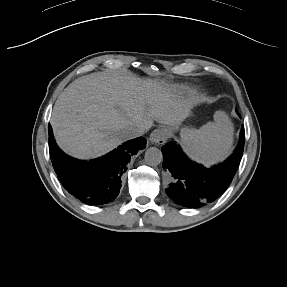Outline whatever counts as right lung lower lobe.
Masks as SVG:
<instances>
[{"instance_id": "98d812e1", "label": "right lung lower lobe", "mask_w": 287, "mask_h": 287, "mask_svg": "<svg viewBox=\"0 0 287 287\" xmlns=\"http://www.w3.org/2000/svg\"><path fill=\"white\" fill-rule=\"evenodd\" d=\"M145 145L146 139L138 137L101 158L80 161L58 148L49 125L50 158L58 179L70 194L86 204L101 205L113 201L119 194L130 156Z\"/></svg>"}]
</instances>
